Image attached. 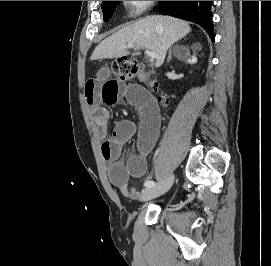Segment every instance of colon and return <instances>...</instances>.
<instances>
[{
  "label": "colon",
  "instance_id": "1",
  "mask_svg": "<svg viewBox=\"0 0 271 266\" xmlns=\"http://www.w3.org/2000/svg\"><path fill=\"white\" fill-rule=\"evenodd\" d=\"M112 73L121 80H129L142 70V65L133 59L119 58L111 64ZM162 101L166 99L162 97Z\"/></svg>",
  "mask_w": 271,
  "mask_h": 266
}]
</instances>
